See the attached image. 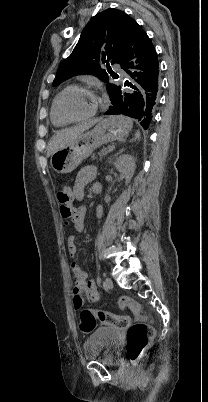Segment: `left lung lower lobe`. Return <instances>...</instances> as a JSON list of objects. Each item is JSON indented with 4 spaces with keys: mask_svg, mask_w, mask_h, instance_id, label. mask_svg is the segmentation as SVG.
I'll use <instances>...</instances> for the list:
<instances>
[{
    "mask_svg": "<svg viewBox=\"0 0 208 402\" xmlns=\"http://www.w3.org/2000/svg\"><path fill=\"white\" fill-rule=\"evenodd\" d=\"M121 68L130 76L124 87L116 86L105 115L122 114L140 121L147 129L158 95L159 62L148 35L135 21L120 58Z\"/></svg>",
    "mask_w": 208,
    "mask_h": 402,
    "instance_id": "1",
    "label": "left lung lower lobe"
}]
</instances>
